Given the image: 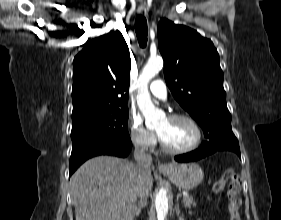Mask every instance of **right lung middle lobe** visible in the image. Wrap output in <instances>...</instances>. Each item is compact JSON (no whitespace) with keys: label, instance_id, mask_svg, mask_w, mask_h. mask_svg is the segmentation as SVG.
Here are the masks:
<instances>
[{"label":"right lung middle lobe","instance_id":"obj_1","mask_svg":"<svg viewBox=\"0 0 281 220\" xmlns=\"http://www.w3.org/2000/svg\"><path fill=\"white\" fill-rule=\"evenodd\" d=\"M128 115V108H122L72 118V147L87 143L130 142Z\"/></svg>","mask_w":281,"mask_h":220}]
</instances>
